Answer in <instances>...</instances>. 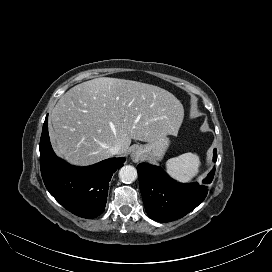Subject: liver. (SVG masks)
Returning <instances> with one entry per match:
<instances>
[{
  "label": "liver",
  "instance_id": "liver-1",
  "mask_svg": "<svg viewBox=\"0 0 272 272\" xmlns=\"http://www.w3.org/2000/svg\"><path fill=\"white\" fill-rule=\"evenodd\" d=\"M184 118L181 102L169 91L132 80L100 77L68 90L50 115L55 152L72 165L87 166L127 153L131 139L153 142L177 135Z\"/></svg>",
  "mask_w": 272,
  "mask_h": 272
}]
</instances>
